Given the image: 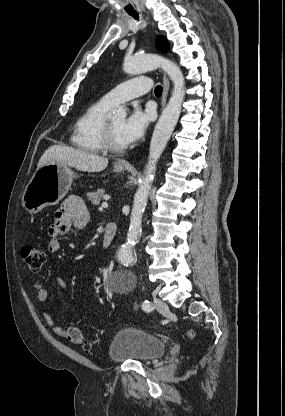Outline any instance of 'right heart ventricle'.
<instances>
[{
    "label": "right heart ventricle",
    "instance_id": "obj_1",
    "mask_svg": "<svg viewBox=\"0 0 285 416\" xmlns=\"http://www.w3.org/2000/svg\"><path fill=\"white\" fill-rule=\"evenodd\" d=\"M103 99L90 103L77 118L71 133L73 147L86 154L104 151L100 139V126L109 108Z\"/></svg>",
    "mask_w": 285,
    "mask_h": 416
}]
</instances>
